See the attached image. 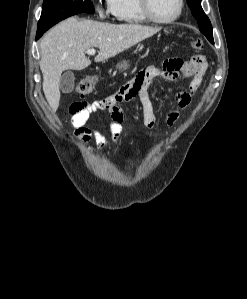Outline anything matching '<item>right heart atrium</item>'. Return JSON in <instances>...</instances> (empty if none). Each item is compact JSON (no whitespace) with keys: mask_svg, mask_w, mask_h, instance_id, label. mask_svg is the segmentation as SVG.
<instances>
[{"mask_svg":"<svg viewBox=\"0 0 247 299\" xmlns=\"http://www.w3.org/2000/svg\"><path fill=\"white\" fill-rule=\"evenodd\" d=\"M95 10L99 17L104 18L110 11L109 0H105V1L99 0L95 5Z\"/></svg>","mask_w":247,"mask_h":299,"instance_id":"d8ad5b80","label":"right heart atrium"}]
</instances>
